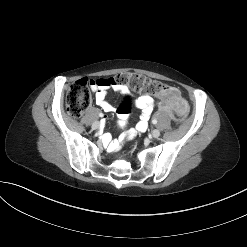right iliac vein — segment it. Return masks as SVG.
<instances>
[{"mask_svg": "<svg viewBox=\"0 0 247 247\" xmlns=\"http://www.w3.org/2000/svg\"><path fill=\"white\" fill-rule=\"evenodd\" d=\"M100 127V123L98 121H95L93 124H92V128L93 129H98Z\"/></svg>", "mask_w": 247, "mask_h": 247, "instance_id": "1", "label": "right iliac vein"}]
</instances>
